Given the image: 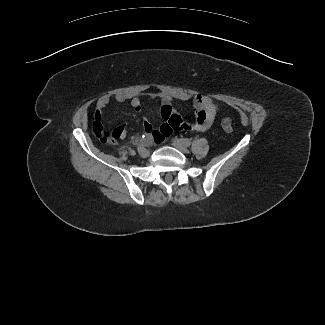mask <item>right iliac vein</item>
I'll return each mask as SVG.
<instances>
[{
    "mask_svg": "<svg viewBox=\"0 0 325 325\" xmlns=\"http://www.w3.org/2000/svg\"><path fill=\"white\" fill-rule=\"evenodd\" d=\"M141 157H148L150 155L149 151L146 149H143L142 151L139 152Z\"/></svg>",
    "mask_w": 325,
    "mask_h": 325,
    "instance_id": "obj_1",
    "label": "right iliac vein"
}]
</instances>
